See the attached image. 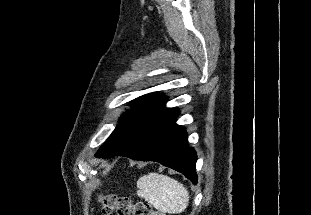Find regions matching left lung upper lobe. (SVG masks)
<instances>
[{
  "label": "left lung upper lobe",
  "mask_w": 311,
  "mask_h": 215,
  "mask_svg": "<svg viewBox=\"0 0 311 215\" xmlns=\"http://www.w3.org/2000/svg\"><path fill=\"white\" fill-rule=\"evenodd\" d=\"M167 98L157 92L131 101L133 107L119 119L115 130L95 156L110 158L125 149L139 134L146 123L165 108Z\"/></svg>",
  "instance_id": "obj_1"
}]
</instances>
